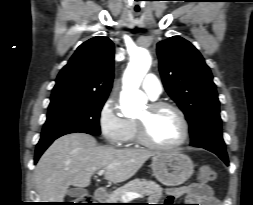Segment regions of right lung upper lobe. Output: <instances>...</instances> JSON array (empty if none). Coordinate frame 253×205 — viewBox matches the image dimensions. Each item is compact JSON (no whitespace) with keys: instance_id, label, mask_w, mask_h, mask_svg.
<instances>
[{"instance_id":"right-lung-upper-lobe-1","label":"right lung upper lobe","mask_w":253,"mask_h":205,"mask_svg":"<svg viewBox=\"0 0 253 205\" xmlns=\"http://www.w3.org/2000/svg\"><path fill=\"white\" fill-rule=\"evenodd\" d=\"M114 44L97 36L81 44L58 74L51 100L64 97L107 98L113 82Z\"/></svg>"}]
</instances>
